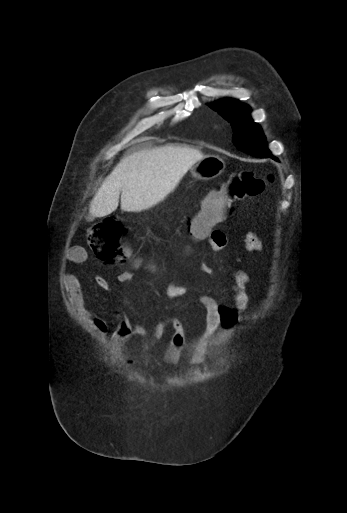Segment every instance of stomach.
Segmentation results:
<instances>
[{
	"label": "stomach",
	"mask_w": 347,
	"mask_h": 513,
	"mask_svg": "<svg viewBox=\"0 0 347 513\" xmlns=\"http://www.w3.org/2000/svg\"><path fill=\"white\" fill-rule=\"evenodd\" d=\"M225 169V162L215 155L206 156L191 168V174L199 180H212Z\"/></svg>",
	"instance_id": "1"
}]
</instances>
